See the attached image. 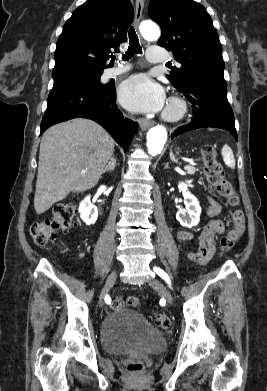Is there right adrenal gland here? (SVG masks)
Instances as JSON below:
<instances>
[{
	"label": "right adrenal gland",
	"mask_w": 267,
	"mask_h": 391,
	"mask_svg": "<svg viewBox=\"0 0 267 391\" xmlns=\"http://www.w3.org/2000/svg\"><path fill=\"white\" fill-rule=\"evenodd\" d=\"M115 166H116V159L112 157L110 162H108V164L105 166L103 173H105L107 171H110V172L113 171Z\"/></svg>",
	"instance_id": "1"
}]
</instances>
